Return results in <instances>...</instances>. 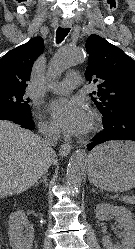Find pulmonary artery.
Listing matches in <instances>:
<instances>
[{"label": "pulmonary artery", "mask_w": 135, "mask_h": 249, "mask_svg": "<svg viewBox=\"0 0 135 249\" xmlns=\"http://www.w3.org/2000/svg\"><path fill=\"white\" fill-rule=\"evenodd\" d=\"M82 84V77L78 73L69 74L62 82H56L49 86L50 91L57 94H66Z\"/></svg>", "instance_id": "e3ab8cb5"}]
</instances>
